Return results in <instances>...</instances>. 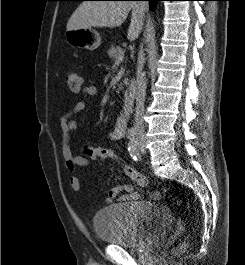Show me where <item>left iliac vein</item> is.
I'll use <instances>...</instances> for the list:
<instances>
[{
  "label": "left iliac vein",
  "instance_id": "4c4485c4",
  "mask_svg": "<svg viewBox=\"0 0 245 265\" xmlns=\"http://www.w3.org/2000/svg\"><path fill=\"white\" fill-rule=\"evenodd\" d=\"M138 150H139L140 153H145L146 152L145 141L143 139H141L138 142Z\"/></svg>",
  "mask_w": 245,
  "mask_h": 265
}]
</instances>
